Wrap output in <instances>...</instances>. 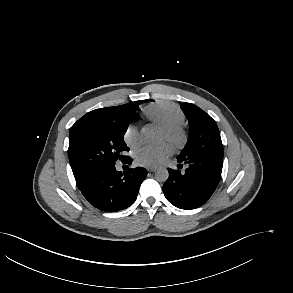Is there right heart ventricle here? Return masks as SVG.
<instances>
[{"mask_svg": "<svg viewBox=\"0 0 293 293\" xmlns=\"http://www.w3.org/2000/svg\"><path fill=\"white\" fill-rule=\"evenodd\" d=\"M146 119L160 127H168L184 122V114L173 103L160 102L148 106L143 111Z\"/></svg>", "mask_w": 293, "mask_h": 293, "instance_id": "1", "label": "right heart ventricle"}]
</instances>
